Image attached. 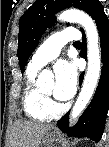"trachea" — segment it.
<instances>
[{"label":"trachea","mask_w":109,"mask_h":147,"mask_svg":"<svg viewBox=\"0 0 109 147\" xmlns=\"http://www.w3.org/2000/svg\"><path fill=\"white\" fill-rule=\"evenodd\" d=\"M78 44H81V43L80 42H78L77 44L74 43V45H78Z\"/></svg>","instance_id":"trachea-1"}]
</instances>
